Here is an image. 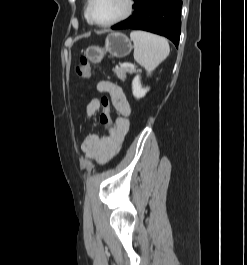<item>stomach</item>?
Returning <instances> with one entry per match:
<instances>
[{"instance_id":"stomach-1","label":"stomach","mask_w":247,"mask_h":265,"mask_svg":"<svg viewBox=\"0 0 247 265\" xmlns=\"http://www.w3.org/2000/svg\"><path fill=\"white\" fill-rule=\"evenodd\" d=\"M131 40L123 33H111L106 37L104 47L92 46L85 51V56L92 63H99L109 53L112 57L122 58L132 51Z\"/></svg>"}]
</instances>
